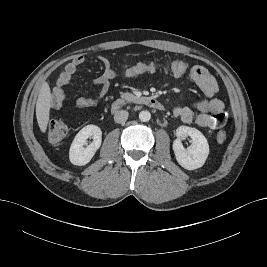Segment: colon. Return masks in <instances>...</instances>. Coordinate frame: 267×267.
<instances>
[{"label":"colon","mask_w":267,"mask_h":267,"mask_svg":"<svg viewBox=\"0 0 267 267\" xmlns=\"http://www.w3.org/2000/svg\"><path fill=\"white\" fill-rule=\"evenodd\" d=\"M188 64L185 61H173L166 65H158L152 62H138L133 65L126 66L115 72V79L133 78L142 74L155 72H164L174 76H182L186 73ZM68 133L67 125L62 121L53 120L48 124L47 136L51 143H61ZM226 132L219 131L217 140L223 142L226 140Z\"/></svg>","instance_id":"5ec220e1"}]
</instances>
